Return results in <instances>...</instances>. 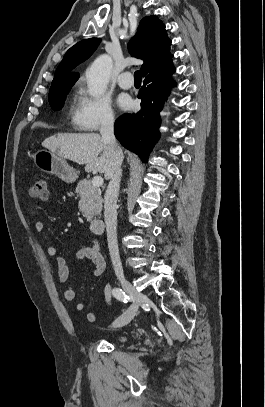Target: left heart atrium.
Wrapping results in <instances>:
<instances>
[{"label": "left heart atrium", "instance_id": "obj_1", "mask_svg": "<svg viewBox=\"0 0 265 407\" xmlns=\"http://www.w3.org/2000/svg\"><path fill=\"white\" fill-rule=\"evenodd\" d=\"M118 105L121 109L127 110L132 106V102L127 96H121L118 98Z\"/></svg>", "mask_w": 265, "mask_h": 407}]
</instances>
